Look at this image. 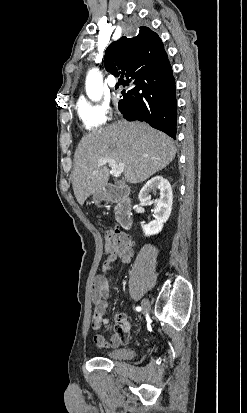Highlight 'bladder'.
I'll return each instance as SVG.
<instances>
[{
    "label": "bladder",
    "mask_w": 247,
    "mask_h": 413,
    "mask_svg": "<svg viewBox=\"0 0 247 413\" xmlns=\"http://www.w3.org/2000/svg\"><path fill=\"white\" fill-rule=\"evenodd\" d=\"M135 354L133 347L125 348V349H118V350H111L104 353L106 358H111L113 360H131Z\"/></svg>",
    "instance_id": "bladder-1"
}]
</instances>
